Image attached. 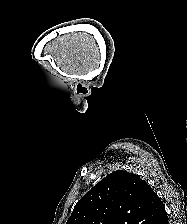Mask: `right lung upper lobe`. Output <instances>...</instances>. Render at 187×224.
I'll return each mask as SVG.
<instances>
[{"label":"right lung upper lobe","mask_w":187,"mask_h":224,"mask_svg":"<svg viewBox=\"0 0 187 224\" xmlns=\"http://www.w3.org/2000/svg\"><path fill=\"white\" fill-rule=\"evenodd\" d=\"M166 211L138 175L112 172L75 205L66 224H162Z\"/></svg>","instance_id":"cb5924a9"}]
</instances>
